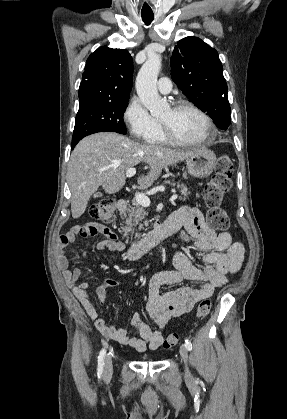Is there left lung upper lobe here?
Wrapping results in <instances>:
<instances>
[{
	"instance_id": "obj_1",
	"label": "left lung upper lobe",
	"mask_w": 287,
	"mask_h": 419,
	"mask_svg": "<svg viewBox=\"0 0 287 419\" xmlns=\"http://www.w3.org/2000/svg\"><path fill=\"white\" fill-rule=\"evenodd\" d=\"M171 75L194 105L227 130L231 122L226 80L218 53L197 37L178 41L170 59Z\"/></svg>"
}]
</instances>
